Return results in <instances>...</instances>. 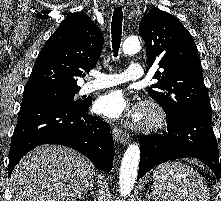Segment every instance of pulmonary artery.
Masks as SVG:
<instances>
[{
  "label": "pulmonary artery",
  "mask_w": 221,
  "mask_h": 201,
  "mask_svg": "<svg viewBox=\"0 0 221 201\" xmlns=\"http://www.w3.org/2000/svg\"><path fill=\"white\" fill-rule=\"evenodd\" d=\"M95 79L83 85L82 93H90L99 89L115 86L127 81H134L143 78V67L138 63H132L125 72L115 74H105L96 72Z\"/></svg>",
  "instance_id": "obj_1"
}]
</instances>
